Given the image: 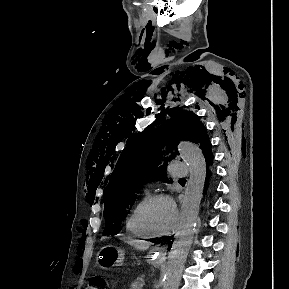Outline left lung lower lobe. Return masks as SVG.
Listing matches in <instances>:
<instances>
[{
    "mask_svg": "<svg viewBox=\"0 0 289 289\" xmlns=\"http://www.w3.org/2000/svg\"><path fill=\"white\" fill-rule=\"evenodd\" d=\"M213 155L212 152L210 151L206 156H205V161H206V180L204 184V192H206L209 189V185H211V176H212V170H211V165L213 163Z\"/></svg>",
    "mask_w": 289,
    "mask_h": 289,
    "instance_id": "left-lung-lower-lobe-1",
    "label": "left lung lower lobe"
}]
</instances>
